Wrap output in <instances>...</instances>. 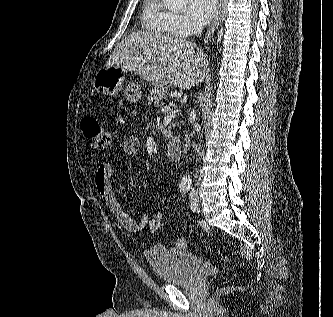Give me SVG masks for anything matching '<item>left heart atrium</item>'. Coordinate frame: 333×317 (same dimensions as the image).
<instances>
[{"mask_svg":"<svg viewBox=\"0 0 333 317\" xmlns=\"http://www.w3.org/2000/svg\"><path fill=\"white\" fill-rule=\"evenodd\" d=\"M217 0H189L187 14L197 26L209 22L217 12Z\"/></svg>","mask_w":333,"mask_h":317,"instance_id":"left-heart-atrium-1","label":"left heart atrium"}]
</instances>
